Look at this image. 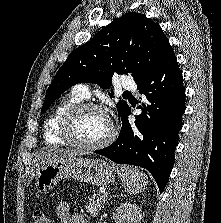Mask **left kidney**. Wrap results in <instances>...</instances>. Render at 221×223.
Masks as SVG:
<instances>
[{"label": "left kidney", "mask_w": 221, "mask_h": 223, "mask_svg": "<svg viewBox=\"0 0 221 223\" xmlns=\"http://www.w3.org/2000/svg\"><path fill=\"white\" fill-rule=\"evenodd\" d=\"M115 223H141V208L135 204L125 202L113 213Z\"/></svg>", "instance_id": "left-kidney-1"}]
</instances>
